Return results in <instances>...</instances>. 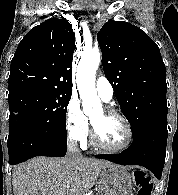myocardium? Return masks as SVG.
<instances>
[{
  "mask_svg": "<svg viewBox=\"0 0 178 195\" xmlns=\"http://www.w3.org/2000/svg\"><path fill=\"white\" fill-rule=\"evenodd\" d=\"M105 114L107 116H110V117H115L117 119H119L126 131H127V140L125 141L124 144L120 145V146H109L105 143H103L99 136H98V133L96 131V128L92 122V132H91V137H92V141L93 143L98 146L99 148H102L104 150H107V151H111V152H118V151H123V150H126L127 148H129L133 142V138H134V133H133V129L129 123V121L126 119L125 116H123L121 113H119L118 111H116L115 109L113 108H109V107H106L103 109Z\"/></svg>",
  "mask_w": 178,
  "mask_h": 195,
  "instance_id": "obj_1",
  "label": "myocardium"
}]
</instances>
